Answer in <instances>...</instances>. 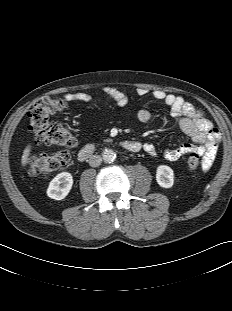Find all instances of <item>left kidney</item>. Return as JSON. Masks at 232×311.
<instances>
[{"label":"left kidney","mask_w":232,"mask_h":311,"mask_svg":"<svg viewBox=\"0 0 232 311\" xmlns=\"http://www.w3.org/2000/svg\"><path fill=\"white\" fill-rule=\"evenodd\" d=\"M156 181L163 188H170L174 183L173 170L167 165H160L156 170Z\"/></svg>","instance_id":"5707ae66"}]
</instances>
